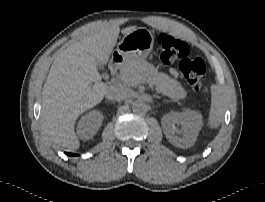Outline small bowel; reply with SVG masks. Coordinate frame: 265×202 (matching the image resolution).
<instances>
[{
  "label": "small bowel",
  "instance_id": "c3829d8e",
  "mask_svg": "<svg viewBox=\"0 0 265 202\" xmlns=\"http://www.w3.org/2000/svg\"><path fill=\"white\" fill-rule=\"evenodd\" d=\"M170 74L173 76V77H177L178 76V72L175 70V69H170Z\"/></svg>",
  "mask_w": 265,
  "mask_h": 202
}]
</instances>
